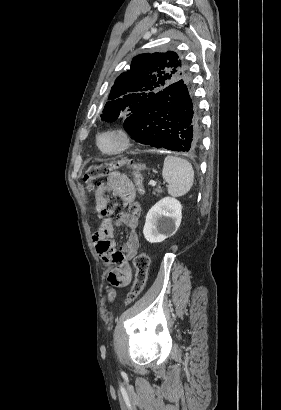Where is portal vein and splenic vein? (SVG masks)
<instances>
[{"mask_svg":"<svg viewBox=\"0 0 281 410\" xmlns=\"http://www.w3.org/2000/svg\"><path fill=\"white\" fill-rule=\"evenodd\" d=\"M149 184H150L151 186H156V182H155L154 180H150Z\"/></svg>","mask_w":281,"mask_h":410,"instance_id":"portal-vein-and-splenic-vein-1","label":"portal vein and splenic vein"}]
</instances>
